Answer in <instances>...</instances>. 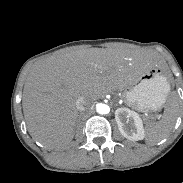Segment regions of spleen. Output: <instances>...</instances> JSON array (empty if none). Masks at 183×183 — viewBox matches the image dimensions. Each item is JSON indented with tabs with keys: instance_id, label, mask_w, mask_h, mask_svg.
Wrapping results in <instances>:
<instances>
[{
	"instance_id": "3e777b00",
	"label": "spleen",
	"mask_w": 183,
	"mask_h": 183,
	"mask_svg": "<svg viewBox=\"0 0 183 183\" xmlns=\"http://www.w3.org/2000/svg\"><path fill=\"white\" fill-rule=\"evenodd\" d=\"M137 88L141 90L140 93H145L147 91L146 85L144 83H140ZM177 106V97L172 96L169 100V105L165 108L161 120L156 123L147 124V145H155L168 136L176 123Z\"/></svg>"
}]
</instances>
